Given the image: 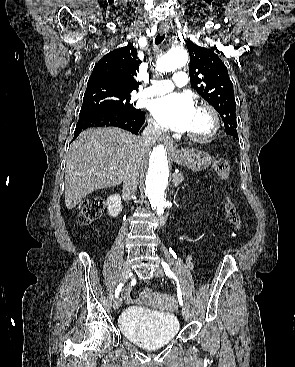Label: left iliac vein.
Wrapping results in <instances>:
<instances>
[{"label": "left iliac vein", "mask_w": 295, "mask_h": 367, "mask_svg": "<svg viewBox=\"0 0 295 367\" xmlns=\"http://www.w3.org/2000/svg\"><path fill=\"white\" fill-rule=\"evenodd\" d=\"M155 276L162 277L163 276V269L160 266H157L154 272ZM182 316L183 318L188 321L190 319V313L189 310L186 307L182 308Z\"/></svg>", "instance_id": "1"}]
</instances>
